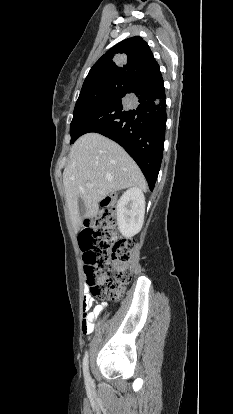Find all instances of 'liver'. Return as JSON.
<instances>
[{
    "label": "liver",
    "mask_w": 233,
    "mask_h": 414,
    "mask_svg": "<svg viewBox=\"0 0 233 414\" xmlns=\"http://www.w3.org/2000/svg\"><path fill=\"white\" fill-rule=\"evenodd\" d=\"M63 184L76 231L85 218L96 217L99 202L107 195L130 187L146 190L145 178L134 160L117 143L95 132L82 135L71 147ZM80 198L86 206L83 216L78 210Z\"/></svg>",
    "instance_id": "1"
}]
</instances>
